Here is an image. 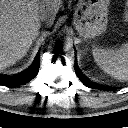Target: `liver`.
Listing matches in <instances>:
<instances>
[{"label": "liver", "instance_id": "liver-1", "mask_svg": "<svg viewBox=\"0 0 128 128\" xmlns=\"http://www.w3.org/2000/svg\"><path fill=\"white\" fill-rule=\"evenodd\" d=\"M62 0H0V70L22 59L41 28L39 16L52 25Z\"/></svg>", "mask_w": 128, "mask_h": 128}]
</instances>
